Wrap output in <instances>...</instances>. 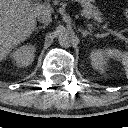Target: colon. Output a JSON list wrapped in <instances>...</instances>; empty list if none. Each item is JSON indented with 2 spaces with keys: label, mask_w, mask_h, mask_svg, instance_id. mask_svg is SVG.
Here are the masks:
<instances>
[{
  "label": "colon",
  "mask_w": 128,
  "mask_h": 128,
  "mask_svg": "<svg viewBox=\"0 0 128 128\" xmlns=\"http://www.w3.org/2000/svg\"><path fill=\"white\" fill-rule=\"evenodd\" d=\"M124 15L126 19L128 20V7L125 8Z\"/></svg>",
  "instance_id": "colon-1"
}]
</instances>
